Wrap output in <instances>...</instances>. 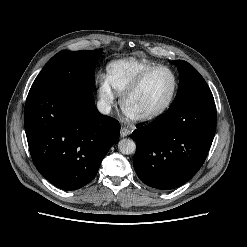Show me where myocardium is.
Segmentation results:
<instances>
[{
	"instance_id": "obj_1",
	"label": "myocardium",
	"mask_w": 247,
	"mask_h": 247,
	"mask_svg": "<svg viewBox=\"0 0 247 247\" xmlns=\"http://www.w3.org/2000/svg\"><path fill=\"white\" fill-rule=\"evenodd\" d=\"M159 70H164L168 72L173 80V88L171 91V94L169 98L166 100V102L161 105L159 108L152 110V111H147V112H134L128 107V101L129 99L139 90L143 82L146 80V78L151 75L152 73L159 71ZM179 88V83H178V78L174 71L165 66V65H156L153 66L145 71H143L122 93L121 98H120V105L123 111L127 116H129L132 119L140 120V121H149L152 119H155L159 116H161L163 113H165L169 107L172 105L177 92Z\"/></svg>"
}]
</instances>
